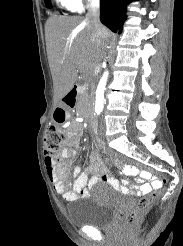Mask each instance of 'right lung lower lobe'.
<instances>
[{
	"label": "right lung lower lobe",
	"instance_id": "98d812e1",
	"mask_svg": "<svg viewBox=\"0 0 183 246\" xmlns=\"http://www.w3.org/2000/svg\"><path fill=\"white\" fill-rule=\"evenodd\" d=\"M134 0H100V20L114 33H121L127 5Z\"/></svg>",
	"mask_w": 183,
	"mask_h": 246
}]
</instances>
